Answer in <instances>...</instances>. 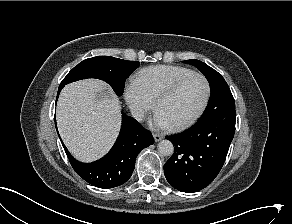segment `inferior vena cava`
Segmentation results:
<instances>
[{
    "label": "inferior vena cava",
    "instance_id": "1",
    "mask_svg": "<svg viewBox=\"0 0 292 224\" xmlns=\"http://www.w3.org/2000/svg\"><path fill=\"white\" fill-rule=\"evenodd\" d=\"M131 110V114L132 116L138 120V121H142L143 118H144V110L139 108V107H136V106H131L130 108Z\"/></svg>",
    "mask_w": 292,
    "mask_h": 224
}]
</instances>
